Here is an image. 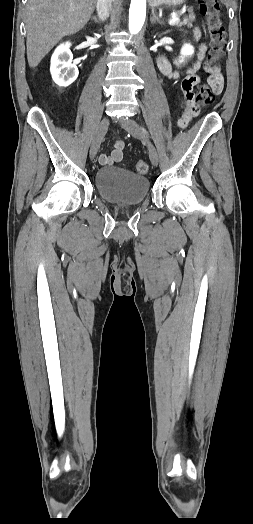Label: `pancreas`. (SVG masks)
Returning a JSON list of instances; mask_svg holds the SVG:
<instances>
[{
    "instance_id": "1",
    "label": "pancreas",
    "mask_w": 253,
    "mask_h": 524,
    "mask_svg": "<svg viewBox=\"0 0 253 524\" xmlns=\"http://www.w3.org/2000/svg\"><path fill=\"white\" fill-rule=\"evenodd\" d=\"M194 20H195V15L193 13H190L189 16L184 17L182 21H179L178 23H176V26L177 27H181V26L192 27V22Z\"/></svg>"
}]
</instances>
